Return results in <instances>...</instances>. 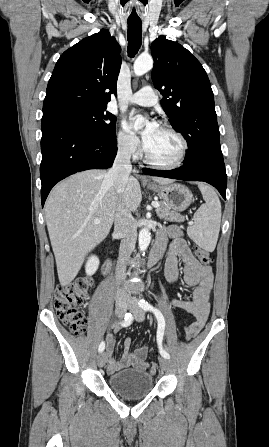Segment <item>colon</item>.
Returning <instances> with one entry per match:
<instances>
[{"instance_id":"colon-1","label":"colon","mask_w":269,"mask_h":447,"mask_svg":"<svg viewBox=\"0 0 269 447\" xmlns=\"http://www.w3.org/2000/svg\"><path fill=\"white\" fill-rule=\"evenodd\" d=\"M194 254L196 258L204 265H210L213 261L212 256L206 250L195 247ZM92 288L90 277H78L68 286L58 287L55 290L54 307L60 321L69 328L75 335L82 336L87 331V318L84 314V307ZM183 327H188L184 325ZM186 341H191V336L184 335ZM146 351H144L145 353ZM142 354L139 352L138 355ZM148 373L153 375L157 371V365L149 364Z\"/></svg>"}]
</instances>
